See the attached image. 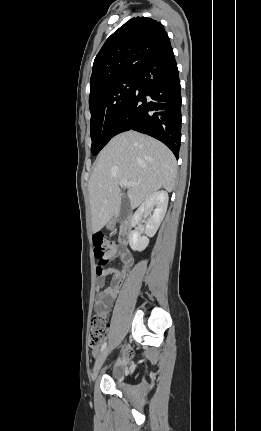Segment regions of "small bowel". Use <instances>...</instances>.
<instances>
[{
  "mask_svg": "<svg viewBox=\"0 0 261 431\" xmlns=\"http://www.w3.org/2000/svg\"><path fill=\"white\" fill-rule=\"evenodd\" d=\"M111 256H117L124 268H104L101 276L96 280V299L94 309L98 313H108L114 298L117 296L126 274V268L132 265L133 258L131 254L119 245H115ZM111 277V285L105 287L106 277Z\"/></svg>",
  "mask_w": 261,
  "mask_h": 431,
  "instance_id": "small-bowel-1",
  "label": "small bowel"
}]
</instances>
